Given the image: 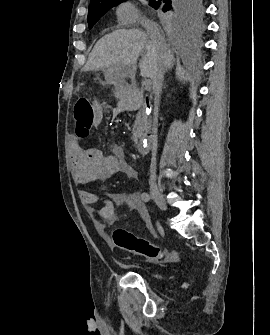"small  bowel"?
<instances>
[{
  "label": "small bowel",
  "mask_w": 270,
  "mask_h": 335,
  "mask_svg": "<svg viewBox=\"0 0 270 335\" xmlns=\"http://www.w3.org/2000/svg\"><path fill=\"white\" fill-rule=\"evenodd\" d=\"M104 119L103 109L97 105L94 109V124L98 128ZM123 174L132 180H138V171L127 160L125 151L115 146L111 154H104L96 146L82 149L75 145L71 151V174L75 183L86 184L97 180H105L115 174ZM80 201L87 212L93 217L95 227L102 236L106 229L115 221V206L130 208L138 214L146 225L150 223L148 210L138 193L126 195L123 193L105 192L93 193L85 189L78 190ZM99 204L96 209L94 206Z\"/></svg>",
  "instance_id": "c3829d8e"
}]
</instances>
